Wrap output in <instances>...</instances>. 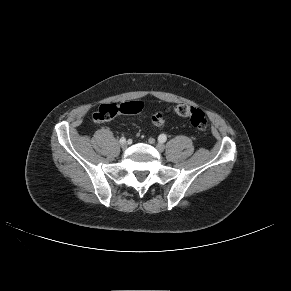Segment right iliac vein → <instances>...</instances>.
I'll return each mask as SVG.
<instances>
[{"label":"right iliac vein","instance_id":"right-iliac-vein-1","mask_svg":"<svg viewBox=\"0 0 291 291\" xmlns=\"http://www.w3.org/2000/svg\"><path fill=\"white\" fill-rule=\"evenodd\" d=\"M122 149H126L128 147V144L126 142L121 144Z\"/></svg>","mask_w":291,"mask_h":291}]
</instances>
